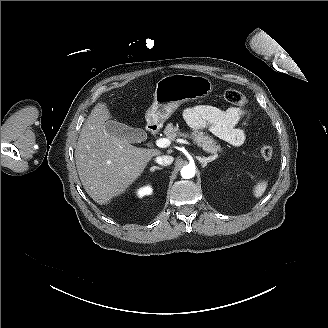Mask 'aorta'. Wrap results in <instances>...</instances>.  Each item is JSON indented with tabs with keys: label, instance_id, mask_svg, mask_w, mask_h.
<instances>
[{
	"label": "aorta",
	"instance_id": "aorta-1",
	"mask_svg": "<svg viewBox=\"0 0 328 328\" xmlns=\"http://www.w3.org/2000/svg\"><path fill=\"white\" fill-rule=\"evenodd\" d=\"M181 176L184 179H190L195 176V167L192 165H186L181 169Z\"/></svg>",
	"mask_w": 328,
	"mask_h": 328
}]
</instances>
